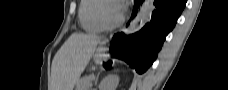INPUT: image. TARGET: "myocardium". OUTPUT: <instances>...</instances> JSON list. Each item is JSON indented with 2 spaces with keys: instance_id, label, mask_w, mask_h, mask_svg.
<instances>
[{
  "instance_id": "1",
  "label": "myocardium",
  "mask_w": 228,
  "mask_h": 90,
  "mask_svg": "<svg viewBox=\"0 0 228 90\" xmlns=\"http://www.w3.org/2000/svg\"><path fill=\"white\" fill-rule=\"evenodd\" d=\"M107 3H113L116 4V1L114 0H100L96 9H95V18L97 22L104 28V29H114L122 24L124 21V15L121 13L120 16L112 23H107L103 16H102V8Z\"/></svg>"
}]
</instances>
